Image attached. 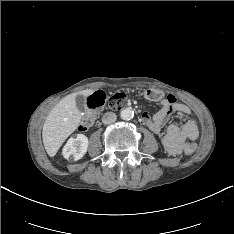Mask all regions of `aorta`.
Masks as SVG:
<instances>
[{
    "instance_id": "762f6f07",
    "label": "aorta",
    "mask_w": 234,
    "mask_h": 234,
    "mask_svg": "<svg viewBox=\"0 0 234 234\" xmlns=\"http://www.w3.org/2000/svg\"><path fill=\"white\" fill-rule=\"evenodd\" d=\"M134 116V111H132L130 108H126L120 112V117L123 120H131Z\"/></svg>"
}]
</instances>
